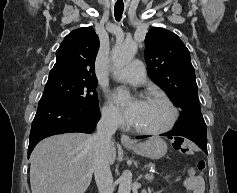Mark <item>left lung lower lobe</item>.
I'll return each instance as SVG.
<instances>
[{
  "instance_id": "obj_1",
  "label": "left lung lower lobe",
  "mask_w": 237,
  "mask_h": 193,
  "mask_svg": "<svg viewBox=\"0 0 237 193\" xmlns=\"http://www.w3.org/2000/svg\"><path fill=\"white\" fill-rule=\"evenodd\" d=\"M162 136H169V138H172L171 136H183L196 143L205 153H207V134L190 130L173 129L167 133L162 134ZM145 137L147 136H139L137 138L140 139Z\"/></svg>"
}]
</instances>
